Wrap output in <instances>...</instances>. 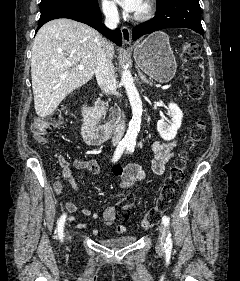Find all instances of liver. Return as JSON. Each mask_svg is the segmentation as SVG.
I'll return each mask as SVG.
<instances>
[{"label": "liver", "mask_w": 240, "mask_h": 281, "mask_svg": "<svg viewBox=\"0 0 240 281\" xmlns=\"http://www.w3.org/2000/svg\"><path fill=\"white\" fill-rule=\"evenodd\" d=\"M104 41L96 30L70 19L52 20L41 27L31 57L34 107L39 117L51 115L68 94L93 78L97 52ZM107 47L112 59L113 44ZM78 64L84 69L78 70Z\"/></svg>", "instance_id": "1"}]
</instances>
